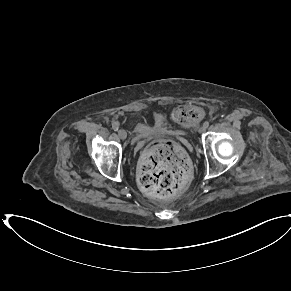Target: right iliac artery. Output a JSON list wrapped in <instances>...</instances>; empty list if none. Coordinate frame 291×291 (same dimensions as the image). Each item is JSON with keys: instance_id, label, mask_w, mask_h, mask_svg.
<instances>
[{"instance_id": "1", "label": "right iliac artery", "mask_w": 291, "mask_h": 291, "mask_svg": "<svg viewBox=\"0 0 291 291\" xmlns=\"http://www.w3.org/2000/svg\"><path fill=\"white\" fill-rule=\"evenodd\" d=\"M112 128H113L114 131H118L119 124L117 122L112 123Z\"/></svg>"}]
</instances>
